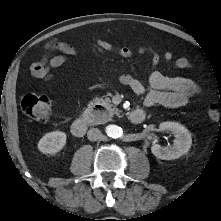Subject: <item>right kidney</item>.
Masks as SVG:
<instances>
[{
  "label": "right kidney",
  "mask_w": 221,
  "mask_h": 221,
  "mask_svg": "<svg viewBox=\"0 0 221 221\" xmlns=\"http://www.w3.org/2000/svg\"><path fill=\"white\" fill-rule=\"evenodd\" d=\"M66 144V134L53 131L45 134L38 142V149L44 154H55L63 149Z\"/></svg>",
  "instance_id": "right-kidney-1"
}]
</instances>
